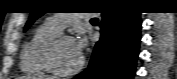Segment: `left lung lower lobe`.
Returning <instances> with one entry per match:
<instances>
[{
	"mask_svg": "<svg viewBox=\"0 0 177 79\" xmlns=\"http://www.w3.org/2000/svg\"><path fill=\"white\" fill-rule=\"evenodd\" d=\"M101 39L87 70L74 79H133L140 43L139 12L102 13Z\"/></svg>",
	"mask_w": 177,
	"mask_h": 79,
	"instance_id": "0a47b994",
	"label": "left lung lower lobe"
}]
</instances>
